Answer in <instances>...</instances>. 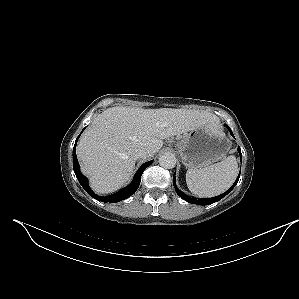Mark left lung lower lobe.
<instances>
[{
    "label": "left lung lower lobe",
    "instance_id": "left-lung-lower-lobe-1",
    "mask_svg": "<svg viewBox=\"0 0 299 299\" xmlns=\"http://www.w3.org/2000/svg\"><path fill=\"white\" fill-rule=\"evenodd\" d=\"M231 135L233 136V133L231 131V129L225 125ZM234 137V136H233ZM238 152L240 154V160H242V154H241V150H240V147H238ZM239 180V177L237 178V180L234 182V184L230 187V189H228L226 192H224L223 194L219 195V196H216V197H212V198H194V197H189L187 196L186 194H184L183 192L179 191L176 186H175V174L173 176V184H174V187H175V190H176V193L183 199H185L187 202L189 203H195V204H198V205H209V204H212L214 202H217L219 200H221L224 196H226L237 184Z\"/></svg>",
    "mask_w": 299,
    "mask_h": 299
}]
</instances>
